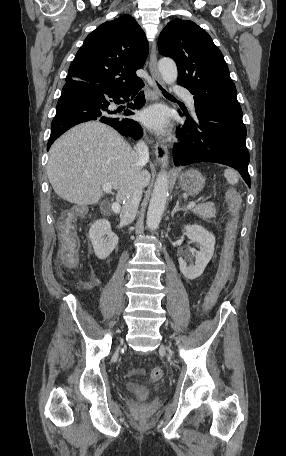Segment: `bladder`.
Wrapping results in <instances>:
<instances>
[{
	"mask_svg": "<svg viewBox=\"0 0 286 456\" xmlns=\"http://www.w3.org/2000/svg\"><path fill=\"white\" fill-rule=\"evenodd\" d=\"M129 391L140 399H147L150 396V390L143 385L131 386Z\"/></svg>",
	"mask_w": 286,
	"mask_h": 456,
	"instance_id": "31cf9c89",
	"label": "bladder"
}]
</instances>
